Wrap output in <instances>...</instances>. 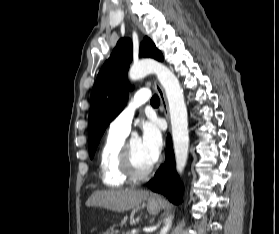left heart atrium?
<instances>
[{"instance_id": "39dd6f15", "label": "left heart atrium", "mask_w": 279, "mask_h": 234, "mask_svg": "<svg viewBox=\"0 0 279 234\" xmlns=\"http://www.w3.org/2000/svg\"><path fill=\"white\" fill-rule=\"evenodd\" d=\"M142 146L147 154L155 161L162 148V134L156 121H147L142 124Z\"/></svg>"}]
</instances>
